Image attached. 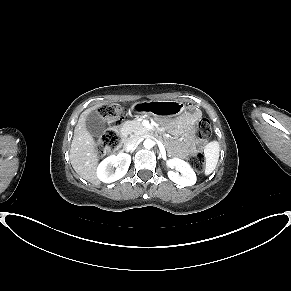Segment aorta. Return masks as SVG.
<instances>
[{"label": "aorta", "instance_id": "762f6f07", "mask_svg": "<svg viewBox=\"0 0 291 291\" xmlns=\"http://www.w3.org/2000/svg\"><path fill=\"white\" fill-rule=\"evenodd\" d=\"M143 145L146 149H150L154 146V141L151 139H145Z\"/></svg>", "mask_w": 291, "mask_h": 291}]
</instances>
